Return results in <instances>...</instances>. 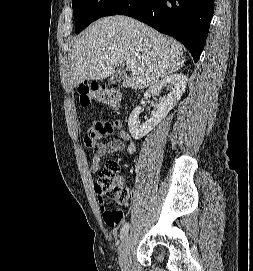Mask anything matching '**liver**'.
I'll return each mask as SVG.
<instances>
[{
	"instance_id": "liver-1",
	"label": "liver",
	"mask_w": 253,
	"mask_h": 271,
	"mask_svg": "<svg viewBox=\"0 0 253 271\" xmlns=\"http://www.w3.org/2000/svg\"><path fill=\"white\" fill-rule=\"evenodd\" d=\"M133 61L123 87L140 90L177 72L185 62L182 47L148 25L126 16L99 19L74 41L69 88L85 80H102L124 61Z\"/></svg>"
}]
</instances>
